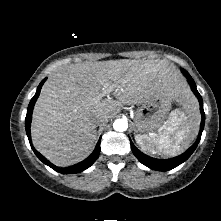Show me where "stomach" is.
<instances>
[{"instance_id":"0dacf381","label":"stomach","mask_w":221,"mask_h":221,"mask_svg":"<svg viewBox=\"0 0 221 221\" xmlns=\"http://www.w3.org/2000/svg\"><path fill=\"white\" fill-rule=\"evenodd\" d=\"M175 97L168 92L155 94L137 109L134 116L136 131L140 135H150L160 130L169 118V111Z\"/></svg>"}]
</instances>
